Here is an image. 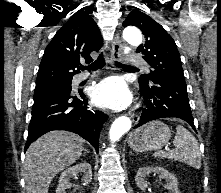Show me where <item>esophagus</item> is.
I'll use <instances>...</instances> for the list:
<instances>
[{
	"label": "esophagus",
	"instance_id": "esophagus-1",
	"mask_svg": "<svg viewBox=\"0 0 221 193\" xmlns=\"http://www.w3.org/2000/svg\"><path fill=\"white\" fill-rule=\"evenodd\" d=\"M122 48L123 46L121 40L117 34L112 42V48H111V58L113 61L122 60ZM129 115L134 124L138 123L140 118L138 114L130 113Z\"/></svg>",
	"mask_w": 221,
	"mask_h": 193
}]
</instances>
